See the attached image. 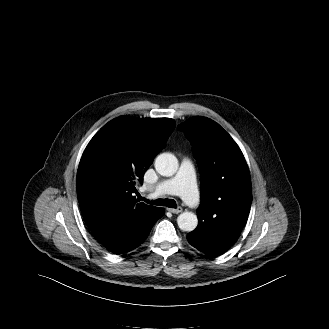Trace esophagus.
I'll return each mask as SVG.
<instances>
[{"instance_id": "obj_1", "label": "esophagus", "mask_w": 329, "mask_h": 329, "mask_svg": "<svg viewBox=\"0 0 329 329\" xmlns=\"http://www.w3.org/2000/svg\"><path fill=\"white\" fill-rule=\"evenodd\" d=\"M169 212L173 213V214H178L180 212L183 211L182 207H178V208H168L167 209Z\"/></svg>"}]
</instances>
